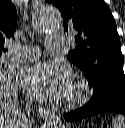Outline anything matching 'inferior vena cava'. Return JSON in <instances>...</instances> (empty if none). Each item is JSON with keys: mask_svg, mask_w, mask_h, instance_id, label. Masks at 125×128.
Segmentation results:
<instances>
[{"mask_svg": "<svg viewBox=\"0 0 125 128\" xmlns=\"http://www.w3.org/2000/svg\"><path fill=\"white\" fill-rule=\"evenodd\" d=\"M28 124V119L25 116H21L19 119L20 128H26Z\"/></svg>", "mask_w": 125, "mask_h": 128, "instance_id": "602c4592", "label": "inferior vena cava"}]
</instances>
